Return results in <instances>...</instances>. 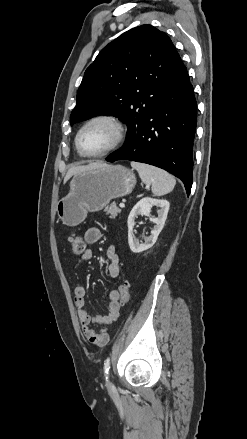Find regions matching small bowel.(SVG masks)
I'll list each match as a JSON object with an SVG mask.
<instances>
[{"mask_svg": "<svg viewBox=\"0 0 247 439\" xmlns=\"http://www.w3.org/2000/svg\"><path fill=\"white\" fill-rule=\"evenodd\" d=\"M102 237V232L98 227L88 228L83 236L85 243L94 244ZM109 258L108 275L112 279H117L120 274L119 258L114 246H110L107 250ZM93 257V252L86 249L80 256L78 262L84 263ZM119 292L112 290L108 294L109 305L108 312L105 315L91 316L85 310V289L83 286H77L74 290V305L80 322L81 330L84 337L92 344L97 346H105L109 341L106 326L113 324L120 315ZM98 324L103 328L95 331L91 325Z\"/></svg>", "mask_w": 247, "mask_h": 439, "instance_id": "small-bowel-1", "label": "small bowel"}]
</instances>
